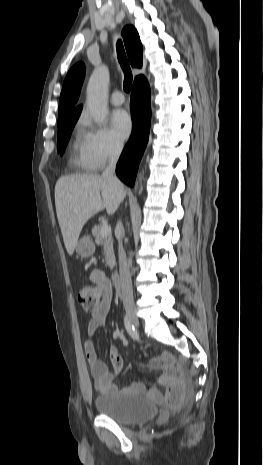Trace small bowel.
<instances>
[{"label":"small bowel","instance_id":"1","mask_svg":"<svg viewBox=\"0 0 263 465\" xmlns=\"http://www.w3.org/2000/svg\"><path fill=\"white\" fill-rule=\"evenodd\" d=\"M90 279L103 291L101 301L90 310V318L87 323V338L84 343L85 355L95 389L104 393L108 391L130 392L141 388L140 385H134L129 388L119 389L113 383V374L110 373L107 365L97 357L93 336L108 318L112 291L109 280L103 272L99 270L92 271ZM111 362L115 372L119 373L123 368V360L114 348L111 350ZM149 366L152 369L162 370L159 384L165 388L164 393L155 386L149 388L148 394L151 398L157 402L180 403L186 392V381L182 371L175 366L173 358L168 354H163L151 360Z\"/></svg>","mask_w":263,"mask_h":465}]
</instances>
